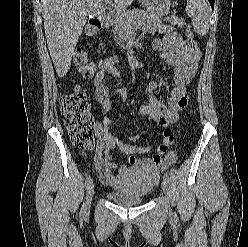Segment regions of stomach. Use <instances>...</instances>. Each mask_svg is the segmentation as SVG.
Returning <instances> with one entry per match:
<instances>
[{
  "label": "stomach",
  "instance_id": "stomach-1",
  "mask_svg": "<svg viewBox=\"0 0 248 247\" xmlns=\"http://www.w3.org/2000/svg\"><path fill=\"white\" fill-rule=\"evenodd\" d=\"M146 7L155 13L160 15L167 14L170 9V0H143Z\"/></svg>",
  "mask_w": 248,
  "mask_h": 247
}]
</instances>
